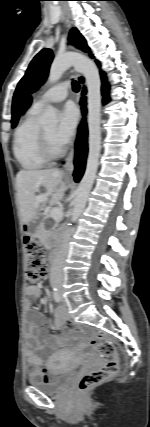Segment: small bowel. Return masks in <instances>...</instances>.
<instances>
[{
    "instance_id": "obj_1",
    "label": "small bowel",
    "mask_w": 150,
    "mask_h": 427,
    "mask_svg": "<svg viewBox=\"0 0 150 427\" xmlns=\"http://www.w3.org/2000/svg\"><path fill=\"white\" fill-rule=\"evenodd\" d=\"M28 295L41 298L42 291L39 286L31 287ZM45 316L32 308L30 304L26 313V358L28 364L33 367L29 375L31 378L40 377L46 379L51 367L58 361L70 355V348L79 347L80 340L73 334L79 329V324L74 319H67V311L58 306L53 314L52 325L57 331H66L68 334L53 335L45 327ZM62 348V351L52 354L54 350ZM41 351L49 355L48 363L43 366V360L38 355Z\"/></svg>"
}]
</instances>
